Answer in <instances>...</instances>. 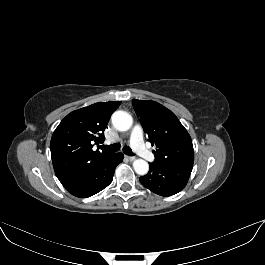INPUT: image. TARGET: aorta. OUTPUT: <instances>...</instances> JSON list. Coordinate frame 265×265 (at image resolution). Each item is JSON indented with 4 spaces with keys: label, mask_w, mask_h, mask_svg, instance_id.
I'll return each instance as SVG.
<instances>
[{
    "label": "aorta",
    "mask_w": 265,
    "mask_h": 265,
    "mask_svg": "<svg viewBox=\"0 0 265 265\" xmlns=\"http://www.w3.org/2000/svg\"><path fill=\"white\" fill-rule=\"evenodd\" d=\"M111 120L113 126L119 131H127L132 126V117L125 111L114 112ZM133 167L135 172L139 175H145L149 171V164L143 159H136L133 162Z\"/></svg>",
    "instance_id": "aorta-1"
}]
</instances>
